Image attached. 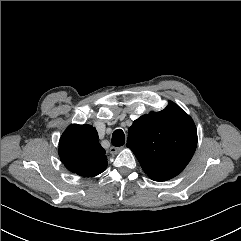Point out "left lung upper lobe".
Masks as SVG:
<instances>
[{
  "instance_id": "5c2ea615",
  "label": "left lung upper lobe",
  "mask_w": 241,
  "mask_h": 241,
  "mask_svg": "<svg viewBox=\"0 0 241 241\" xmlns=\"http://www.w3.org/2000/svg\"><path fill=\"white\" fill-rule=\"evenodd\" d=\"M196 145L192 118L172 101L160 112L141 116L128 130L127 147L154 181H166L181 173Z\"/></svg>"
}]
</instances>
